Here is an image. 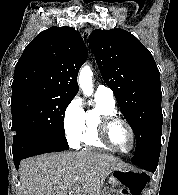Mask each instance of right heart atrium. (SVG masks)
<instances>
[{"mask_svg": "<svg viewBox=\"0 0 178 195\" xmlns=\"http://www.w3.org/2000/svg\"><path fill=\"white\" fill-rule=\"evenodd\" d=\"M63 126L69 144L77 147L85 129V111L79 96H75L67 104L63 113Z\"/></svg>", "mask_w": 178, "mask_h": 195, "instance_id": "1", "label": "right heart atrium"}]
</instances>
